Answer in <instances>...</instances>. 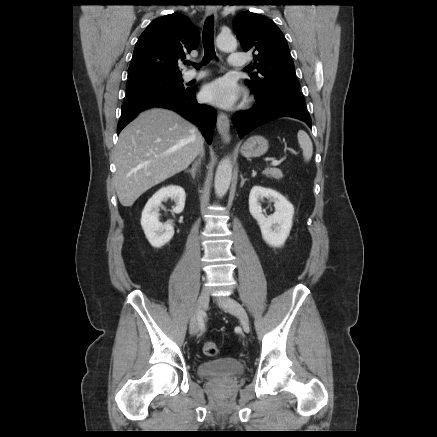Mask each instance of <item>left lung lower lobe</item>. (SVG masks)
Listing matches in <instances>:
<instances>
[{
	"mask_svg": "<svg viewBox=\"0 0 437 437\" xmlns=\"http://www.w3.org/2000/svg\"><path fill=\"white\" fill-rule=\"evenodd\" d=\"M280 117H292L305 122L311 128V118L304 104L287 100L259 101L253 108L233 115V123L242 137L256 127Z\"/></svg>",
	"mask_w": 437,
	"mask_h": 437,
	"instance_id": "0a47b994",
	"label": "left lung lower lobe"
}]
</instances>
